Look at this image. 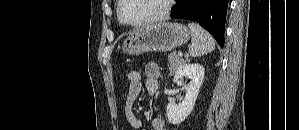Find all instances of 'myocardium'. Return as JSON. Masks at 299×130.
I'll list each match as a JSON object with an SVG mask.
<instances>
[{"mask_svg": "<svg viewBox=\"0 0 299 130\" xmlns=\"http://www.w3.org/2000/svg\"><path fill=\"white\" fill-rule=\"evenodd\" d=\"M165 1H166L165 8L159 15L145 21L130 23L124 20L123 18V7L126 0H119L118 10H117L118 20L120 21L121 24L132 28H141V27H146V26L159 23L165 20L169 16L174 3V0H165Z\"/></svg>", "mask_w": 299, "mask_h": 130, "instance_id": "myocardium-1", "label": "myocardium"}]
</instances>
